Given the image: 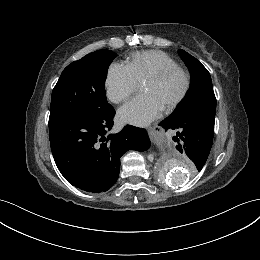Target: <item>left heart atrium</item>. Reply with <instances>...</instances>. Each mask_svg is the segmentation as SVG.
<instances>
[{
    "mask_svg": "<svg viewBox=\"0 0 260 260\" xmlns=\"http://www.w3.org/2000/svg\"><path fill=\"white\" fill-rule=\"evenodd\" d=\"M163 104L152 94L138 96L119 109V117L125 123L145 125L157 118Z\"/></svg>",
    "mask_w": 260,
    "mask_h": 260,
    "instance_id": "left-heart-atrium-1",
    "label": "left heart atrium"
}]
</instances>
